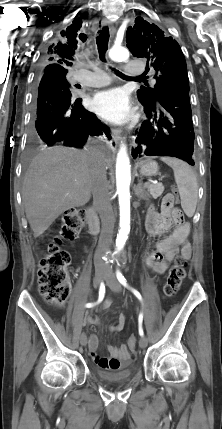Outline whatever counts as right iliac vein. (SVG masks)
I'll use <instances>...</instances> for the list:
<instances>
[{"label": "right iliac vein", "mask_w": 222, "mask_h": 429, "mask_svg": "<svg viewBox=\"0 0 222 429\" xmlns=\"http://www.w3.org/2000/svg\"><path fill=\"white\" fill-rule=\"evenodd\" d=\"M103 278H104V270L102 268H98L95 272V276H94V280H93L94 286L95 287L100 286V284L103 281ZM79 340H80V344L82 346H86L87 336L85 333H81Z\"/></svg>", "instance_id": "right-iliac-vein-1"}]
</instances>
